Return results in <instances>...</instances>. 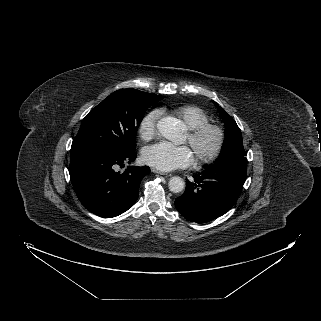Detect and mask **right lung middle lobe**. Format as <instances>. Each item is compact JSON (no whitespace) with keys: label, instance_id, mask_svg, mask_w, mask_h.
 <instances>
[{"label":"right lung middle lobe","instance_id":"obj_1","mask_svg":"<svg viewBox=\"0 0 321 321\" xmlns=\"http://www.w3.org/2000/svg\"><path fill=\"white\" fill-rule=\"evenodd\" d=\"M162 99L132 88L113 92L83 119L71 152L80 149L112 155L134 152L137 128L145 111Z\"/></svg>","mask_w":321,"mask_h":321}]
</instances>
